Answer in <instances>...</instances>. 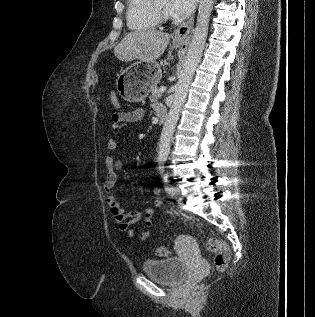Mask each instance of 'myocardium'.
Segmentation results:
<instances>
[{"instance_id":"f54148a6","label":"myocardium","mask_w":315,"mask_h":317,"mask_svg":"<svg viewBox=\"0 0 315 317\" xmlns=\"http://www.w3.org/2000/svg\"><path fill=\"white\" fill-rule=\"evenodd\" d=\"M154 14L160 23H166L169 21V17L166 13L161 11L159 8L156 7V5H152Z\"/></svg>"}]
</instances>
